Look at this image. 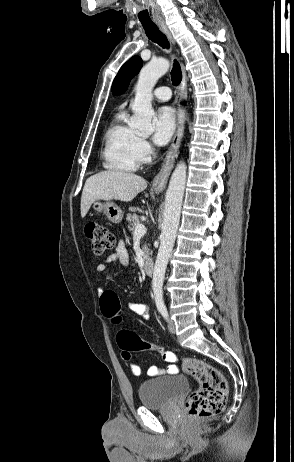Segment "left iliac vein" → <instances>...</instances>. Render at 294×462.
<instances>
[{"instance_id": "4c4485c4", "label": "left iliac vein", "mask_w": 294, "mask_h": 462, "mask_svg": "<svg viewBox=\"0 0 294 462\" xmlns=\"http://www.w3.org/2000/svg\"><path fill=\"white\" fill-rule=\"evenodd\" d=\"M168 329H169V332L172 334L176 332V327L173 321H169Z\"/></svg>"}]
</instances>
